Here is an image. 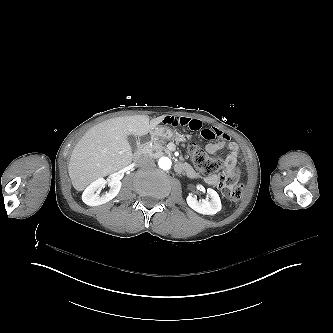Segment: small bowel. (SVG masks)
Segmentation results:
<instances>
[{"label": "small bowel", "mask_w": 333, "mask_h": 333, "mask_svg": "<svg viewBox=\"0 0 333 333\" xmlns=\"http://www.w3.org/2000/svg\"><path fill=\"white\" fill-rule=\"evenodd\" d=\"M163 124L170 127H181V128H187L191 131L200 132L201 136L208 141L219 139L217 141L208 143L205 146L206 152L209 154H214L217 151L223 149L224 147H227L229 150V154L225 159L226 171L232 170L238 164L241 156L239 146L235 142L230 141L229 136L219 128L210 127V125L207 123L203 124V122L199 118L191 116H183V115H174L166 117L163 120ZM182 165L192 169V167L186 163ZM218 181H219V175L217 174L208 175L205 178V182L212 186L218 184Z\"/></svg>", "instance_id": "small-bowel-1"}]
</instances>
